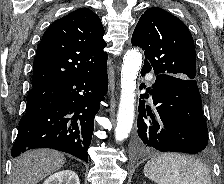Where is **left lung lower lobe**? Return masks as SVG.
<instances>
[{"instance_id":"obj_1","label":"left lung lower lobe","mask_w":224,"mask_h":184,"mask_svg":"<svg viewBox=\"0 0 224 184\" xmlns=\"http://www.w3.org/2000/svg\"><path fill=\"white\" fill-rule=\"evenodd\" d=\"M149 71L142 69L141 75ZM152 87L146 91L152 96L153 109L142 100L149 94L140 95L138 144L162 152L196 154L206 150L208 131L196 80L158 74Z\"/></svg>"}]
</instances>
